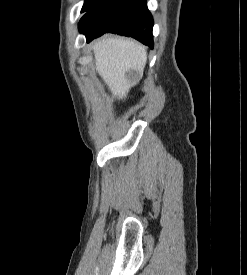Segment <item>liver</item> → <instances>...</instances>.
I'll list each match as a JSON object with an SVG mask.
<instances>
[{"mask_svg":"<svg viewBox=\"0 0 247 275\" xmlns=\"http://www.w3.org/2000/svg\"><path fill=\"white\" fill-rule=\"evenodd\" d=\"M95 69L112 95L125 99L131 87L126 73L134 71L140 78L147 62L146 48L129 39L103 38L92 45Z\"/></svg>","mask_w":247,"mask_h":275,"instance_id":"6515ba94","label":"liver"}]
</instances>
